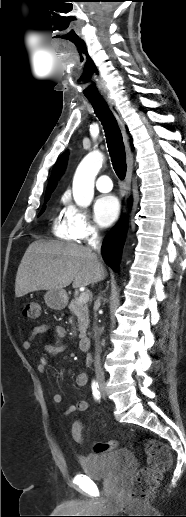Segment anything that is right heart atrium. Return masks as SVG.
Returning a JSON list of instances; mask_svg holds the SVG:
<instances>
[{"label":"right heart atrium","instance_id":"1","mask_svg":"<svg viewBox=\"0 0 186 517\" xmlns=\"http://www.w3.org/2000/svg\"><path fill=\"white\" fill-rule=\"evenodd\" d=\"M63 203L64 218L76 240L86 242L99 234L98 227L86 211L74 205L67 197L63 199Z\"/></svg>","mask_w":186,"mask_h":517}]
</instances>
